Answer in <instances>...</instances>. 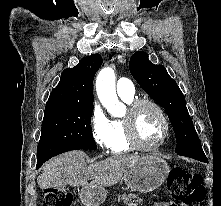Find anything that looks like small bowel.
<instances>
[{
  "label": "small bowel",
  "mask_w": 221,
  "mask_h": 206,
  "mask_svg": "<svg viewBox=\"0 0 221 206\" xmlns=\"http://www.w3.org/2000/svg\"><path fill=\"white\" fill-rule=\"evenodd\" d=\"M153 206H184V205H179V204H176V203H157Z\"/></svg>",
  "instance_id": "1"
}]
</instances>
